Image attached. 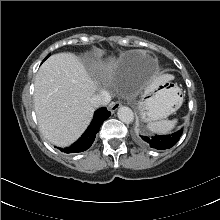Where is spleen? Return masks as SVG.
Returning <instances> with one entry per match:
<instances>
[{"label": "spleen", "mask_w": 220, "mask_h": 220, "mask_svg": "<svg viewBox=\"0 0 220 220\" xmlns=\"http://www.w3.org/2000/svg\"><path fill=\"white\" fill-rule=\"evenodd\" d=\"M177 122H178V119L161 120L157 122H149L147 127L152 132L159 133V134H167L175 127Z\"/></svg>", "instance_id": "3e777b00"}]
</instances>
